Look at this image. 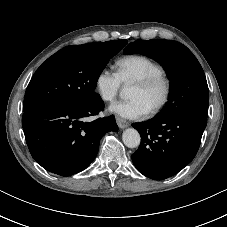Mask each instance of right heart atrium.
<instances>
[{
    "label": "right heart atrium",
    "instance_id": "1",
    "mask_svg": "<svg viewBox=\"0 0 227 227\" xmlns=\"http://www.w3.org/2000/svg\"><path fill=\"white\" fill-rule=\"evenodd\" d=\"M94 86L104 102H112L119 92L121 81L116 72L102 68L95 77Z\"/></svg>",
    "mask_w": 227,
    "mask_h": 227
}]
</instances>
